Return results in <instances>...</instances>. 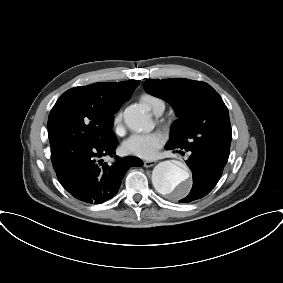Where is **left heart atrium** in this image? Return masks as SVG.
Segmentation results:
<instances>
[{
	"instance_id": "1",
	"label": "left heart atrium",
	"mask_w": 283,
	"mask_h": 283,
	"mask_svg": "<svg viewBox=\"0 0 283 283\" xmlns=\"http://www.w3.org/2000/svg\"><path fill=\"white\" fill-rule=\"evenodd\" d=\"M164 142L165 137L159 131L133 134L123 142V150L129 155L149 160L156 157Z\"/></svg>"
}]
</instances>
